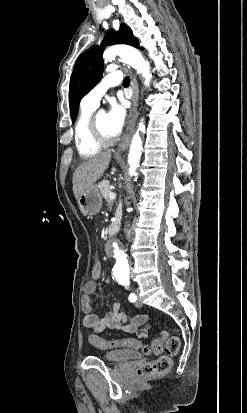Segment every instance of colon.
<instances>
[{"mask_svg":"<svg viewBox=\"0 0 247 413\" xmlns=\"http://www.w3.org/2000/svg\"><path fill=\"white\" fill-rule=\"evenodd\" d=\"M92 274L98 276L101 274V264L94 262L92 264ZM157 336L150 338V343L154 346L152 353L154 356H160L157 360L144 364L137 374L138 381H149L151 376H156L167 372L171 367V359L166 358L163 353L164 343L170 342L172 349L167 351L169 355H180L181 348L179 346V339L177 337H171L169 332L161 330L156 332ZM89 341L99 348H114V347H131L134 349L143 350L145 353H150V346L143 344L136 338L128 339H114L103 340L95 335H91ZM162 355V356H161Z\"/></svg>","mask_w":247,"mask_h":413,"instance_id":"1","label":"colon"}]
</instances>
